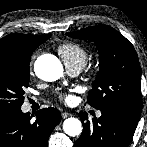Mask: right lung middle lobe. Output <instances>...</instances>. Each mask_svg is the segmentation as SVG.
I'll list each match as a JSON object with an SVG mask.
<instances>
[{
    "mask_svg": "<svg viewBox=\"0 0 147 147\" xmlns=\"http://www.w3.org/2000/svg\"><path fill=\"white\" fill-rule=\"evenodd\" d=\"M31 54L0 53V112L20 109L28 87Z\"/></svg>",
    "mask_w": 147,
    "mask_h": 147,
    "instance_id": "1",
    "label": "right lung middle lobe"
}]
</instances>
